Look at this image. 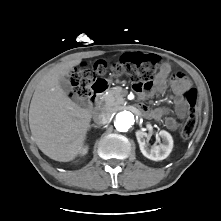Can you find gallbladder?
Instances as JSON below:
<instances>
[{
    "label": "gallbladder",
    "mask_w": 221,
    "mask_h": 221,
    "mask_svg": "<svg viewBox=\"0 0 221 221\" xmlns=\"http://www.w3.org/2000/svg\"><path fill=\"white\" fill-rule=\"evenodd\" d=\"M60 86L65 93H70L72 91L70 80L66 77L60 79Z\"/></svg>",
    "instance_id": "1"
}]
</instances>
